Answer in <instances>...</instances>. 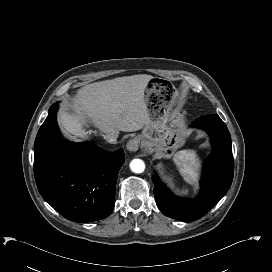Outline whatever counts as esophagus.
I'll return each mask as SVG.
<instances>
[{
    "label": "esophagus",
    "mask_w": 272,
    "mask_h": 272,
    "mask_svg": "<svg viewBox=\"0 0 272 272\" xmlns=\"http://www.w3.org/2000/svg\"><path fill=\"white\" fill-rule=\"evenodd\" d=\"M140 146V138L135 137L128 141L126 148L130 152H135L139 149Z\"/></svg>",
    "instance_id": "esophagus-1"
}]
</instances>
